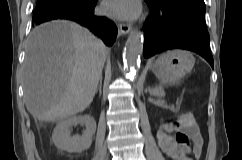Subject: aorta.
I'll use <instances>...</instances> for the list:
<instances>
[{"instance_id":"1","label":"aorta","mask_w":242,"mask_h":160,"mask_svg":"<svg viewBox=\"0 0 242 160\" xmlns=\"http://www.w3.org/2000/svg\"><path fill=\"white\" fill-rule=\"evenodd\" d=\"M143 34L133 30L128 37L127 46L123 55L124 64L131 73H134L140 64V56L143 52Z\"/></svg>"}]
</instances>
